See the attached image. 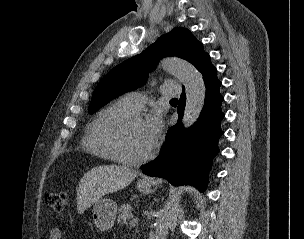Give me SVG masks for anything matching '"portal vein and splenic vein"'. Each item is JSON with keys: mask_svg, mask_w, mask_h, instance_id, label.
Segmentation results:
<instances>
[{"mask_svg": "<svg viewBox=\"0 0 304 239\" xmlns=\"http://www.w3.org/2000/svg\"><path fill=\"white\" fill-rule=\"evenodd\" d=\"M135 224H137V219H133V220L131 221V225H135Z\"/></svg>", "mask_w": 304, "mask_h": 239, "instance_id": "obj_1", "label": "portal vein and splenic vein"}]
</instances>
